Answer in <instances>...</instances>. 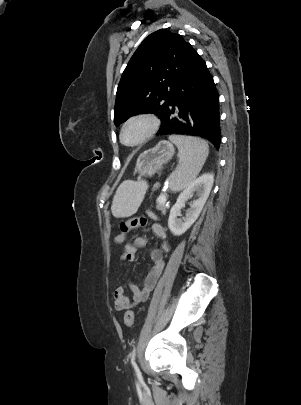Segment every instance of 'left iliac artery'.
I'll list each match as a JSON object with an SVG mask.
<instances>
[{"instance_id":"1","label":"left iliac artery","mask_w":301,"mask_h":405,"mask_svg":"<svg viewBox=\"0 0 301 405\" xmlns=\"http://www.w3.org/2000/svg\"><path fill=\"white\" fill-rule=\"evenodd\" d=\"M135 355H136V349L134 348L132 353H131V363L137 369V366H136V363H135Z\"/></svg>"}]
</instances>
